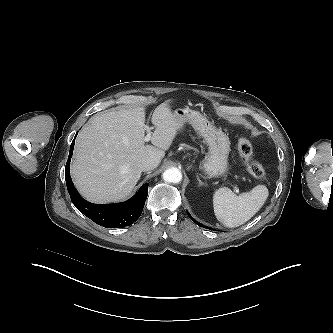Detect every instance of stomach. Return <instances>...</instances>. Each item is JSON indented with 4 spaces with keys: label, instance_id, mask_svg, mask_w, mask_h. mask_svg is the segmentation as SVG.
<instances>
[{
    "label": "stomach",
    "instance_id": "obj_1",
    "mask_svg": "<svg viewBox=\"0 0 333 333\" xmlns=\"http://www.w3.org/2000/svg\"><path fill=\"white\" fill-rule=\"evenodd\" d=\"M174 114L179 119L181 126L189 123L207 143L208 154L201 166L205 174L209 177L223 176L228 171L229 137L198 111L178 108Z\"/></svg>",
    "mask_w": 333,
    "mask_h": 333
}]
</instances>
